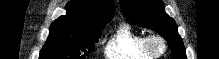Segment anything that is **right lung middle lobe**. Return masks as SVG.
Masks as SVG:
<instances>
[{"mask_svg":"<svg viewBox=\"0 0 219 59\" xmlns=\"http://www.w3.org/2000/svg\"><path fill=\"white\" fill-rule=\"evenodd\" d=\"M104 27L53 22L39 59H85L94 49Z\"/></svg>","mask_w":219,"mask_h":59,"instance_id":"1","label":"right lung middle lobe"}]
</instances>
